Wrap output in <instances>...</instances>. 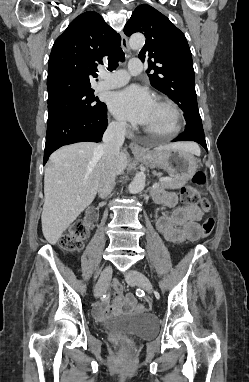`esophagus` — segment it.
I'll return each mask as SVG.
<instances>
[{"mask_svg":"<svg viewBox=\"0 0 249 382\" xmlns=\"http://www.w3.org/2000/svg\"><path fill=\"white\" fill-rule=\"evenodd\" d=\"M121 46L126 52L130 51L128 39L123 32L121 33ZM129 148L132 151V153H134V154H144V152H145V150L140 145H138L136 142H130Z\"/></svg>","mask_w":249,"mask_h":382,"instance_id":"1","label":"esophagus"}]
</instances>
